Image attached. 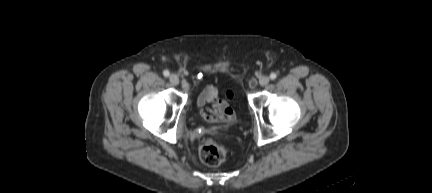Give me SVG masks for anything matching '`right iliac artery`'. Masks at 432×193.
Wrapping results in <instances>:
<instances>
[{"instance_id": "1", "label": "right iliac artery", "mask_w": 432, "mask_h": 193, "mask_svg": "<svg viewBox=\"0 0 432 193\" xmlns=\"http://www.w3.org/2000/svg\"><path fill=\"white\" fill-rule=\"evenodd\" d=\"M163 75H164L165 77H169L170 73H169L168 70H165V71H163Z\"/></svg>"}]
</instances>
